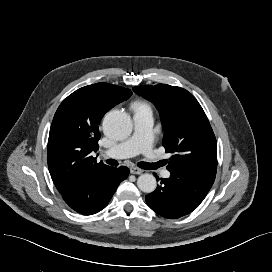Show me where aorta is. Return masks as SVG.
<instances>
[{
	"mask_svg": "<svg viewBox=\"0 0 272 272\" xmlns=\"http://www.w3.org/2000/svg\"><path fill=\"white\" fill-rule=\"evenodd\" d=\"M104 133L113 139L121 140L127 138L132 132V121L130 116L123 111L113 110L108 112L103 119ZM138 188L145 193H152L156 189V178L154 175L145 173L137 179Z\"/></svg>",
	"mask_w": 272,
	"mask_h": 272,
	"instance_id": "762f6f07",
	"label": "aorta"
}]
</instances>
